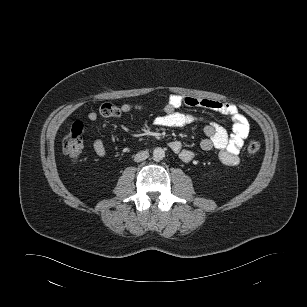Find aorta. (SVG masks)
Listing matches in <instances>:
<instances>
[{"label":"aorta","instance_id":"aorta-1","mask_svg":"<svg viewBox=\"0 0 307 307\" xmlns=\"http://www.w3.org/2000/svg\"><path fill=\"white\" fill-rule=\"evenodd\" d=\"M153 157L155 160H162L165 157V151L160 147L155 148L153 151Z\"/></svg>","mask_w":307,"mask_h":307}]
</instances>
